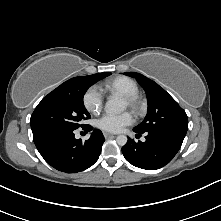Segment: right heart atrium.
Masks as SVG:
<instances>
[{
    "label": "right heart atrium",
    "instance_id": "1",
    "mask_svg": "<svg viewBox=\"0 0 221 221\" xmlns=\"http://www.w3.org/2000/svg\"><path fill=\"white\" fill-rule=\"evenodd\" d=\"M83 105L91 113H97L102 109L103 95L96 86H91L85 91Z\"/></svg>",
    "mask_w": 221,
    "mask_h": 221
}]
</instances>
